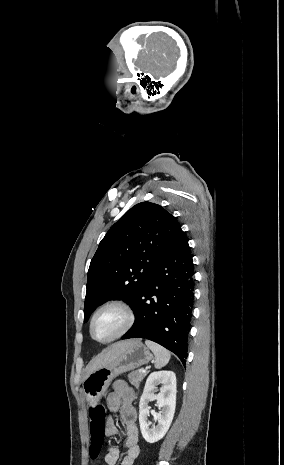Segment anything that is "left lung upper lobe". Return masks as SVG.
Instances as JSON below:
<instances>
[{"label": "left lung upper lobe", "instance_id": "obj_1", "mask_svg": "<svg viewBox=\"0 0 284 465\" xmlns=\"http://www.w3.org/2000/svg\"><path fill=\"white\" fill-rule=\"evenodd\" d=\"M180 230L176 218L158 204L142 202L128 210L107 232L91 260L84 322L106 300L134 304Z\"/></svg>", "mask_w": 284, "mask_h": 465}]
</instances>
